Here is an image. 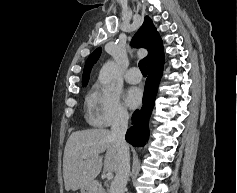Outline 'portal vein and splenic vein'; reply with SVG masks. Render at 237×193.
<instances>
[{
	"mask_svg": "<svg viewBox=\"0 0 237 193\" xmlns=\"http://www.w3.org/2000/svg\"><path fill=\"white\" fill-rule=\"evenodd\" d=\"M106 178L109 179V180L112 179L113 178V172H107L106 173Z\"/></svg>",
	"mask_w": 237,
	"mask_h": 193,
	"instance_id": "portal-vein-and-splenic-vein-1",
	"label": "portal vein and splenic vein"
}]
</instances>
